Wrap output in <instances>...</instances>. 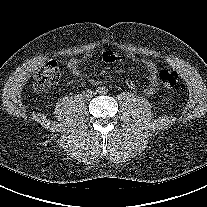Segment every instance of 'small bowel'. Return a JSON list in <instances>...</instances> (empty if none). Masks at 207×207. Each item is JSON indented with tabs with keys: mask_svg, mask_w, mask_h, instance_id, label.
I'll return each mask as SVG.
<instances>
[{
	"mask_svg": "<svg viewBox=\"0 0 207 207\" xmlns=\"http://www.w3.org/2000/svg\"><path fill=\"white\" fill-rule=\"evenodd\" d=\"M101 54L105 62L115 63L121 61V58L117 53L103 50ZM91 55V53L84 54L82 60L89 59ZM140 62L142 66L148 71V84L144 87L143 92L147 96H152L157 92L159 87L157 66L150 60H141ZM80 64L81 60L78 58H71L67 62L68 70L75 77L81 76ZM126 84L131 90L137 89V83L132 79L126 80Z\"/></svg>",
	"mask_w": 207,
	"mask_h": 207,
	"instance_id": "1",
	"label": "small bowel"
}]
</instances>
